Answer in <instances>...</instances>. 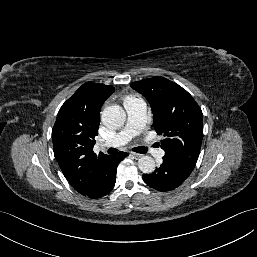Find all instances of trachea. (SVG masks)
I'll list each match as a JSON object with an SVG mask.
<instances>
[{"instance_id": "obj_1", "label": "trachea", "mask_w": 257, "mask_h": 257, "mask_svg": "<svg viewBox=\"0 0 257 257\" xmlns=\"http://www.w3.org/2000/svg\"><path fill=\"white\" fill-rule=\"evenodd\" d=\"M132 150L137 152V153H141V154H144V153L147 152V148L146 147H134ZM117 152H118V150L116 148H109L107 150L108 154H114V153H117Z\"/></svg>"}]
</instances>
